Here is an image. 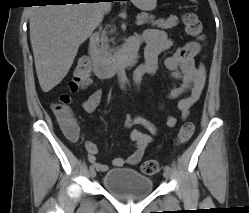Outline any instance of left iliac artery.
<instances>
[{"instance_id": "obj_1", "label": "left iliac artery", "mask_w": 249, "mask_h": 213, "mask_svg": "<svg viewBox=\"0 0 249 213\" xmlns=\"http://www.w3.org/2000/svg\"><path fill=\"white\" fill-rule=\"evenodd\" d=\"M164 169H165L166 171H168V172L171 171V167H170L169 165H166V166L164 167Z\"/></svg>"}]
</instances>
